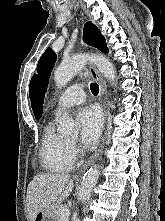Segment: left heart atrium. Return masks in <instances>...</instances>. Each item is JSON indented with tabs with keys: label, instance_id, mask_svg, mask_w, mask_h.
<instances>
[{
	"label": "left heart atrium",
	"instance_id": "39dd6f15",
	"mask_svg": "<svg viewBox=\"0 0 165 221\" xmlns=\"http://www.w3.org/2000/svg\"><path fill=\"white\" fill-rule=\"evenodd\" d=\"M80 126V141L84 147L93 145L100 136L103 124L100 111L93 106L82 109L77 116Z\"/></svg>",
	"mask_w": 165,
	"mask_h": 221
}]
</instances>
